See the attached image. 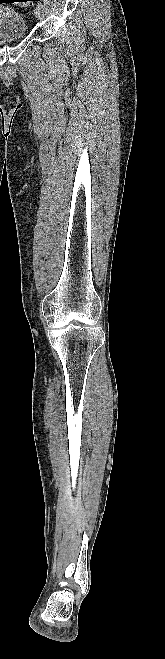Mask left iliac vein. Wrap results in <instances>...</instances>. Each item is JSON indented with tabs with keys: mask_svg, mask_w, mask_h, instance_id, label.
Segmentation results:
<instances>
[{
	"mask_svg": "<svg viewBox=\"0 0 165 659\" xmlns=\"http://www.w3.org/2000/svg\"><path fill=\"white\" fill-rule=\"evenodd\" d=\"M34 15L38 20L42 21L44 19V9L39 6L35 7Z\"/></svg>",
	"mask_w": 165,
	"mask_h": 659,
	"instance_id": "left-iliac-vein-1",
	"label": "left iliac vein"
}]
</instances>
